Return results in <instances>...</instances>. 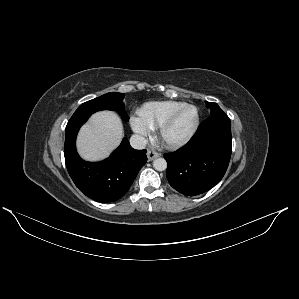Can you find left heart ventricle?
<instances>
[{"instance_id": "1", "label": "left heart ventricle", "mask_w": 299, "mask_h": 299, "mask_svg": "<svg viewBox=\"0 0 299 299\" xmlns=\"http://www.w3.org/2000/svg\"><path fill=\"white\" fill-rule=\"evenodd\" d=\"M196 116L197 113L194 108H187L182 111L174 124L168 130V138L177 139L184 136L194 125Z\"/></svg>"}]
</instances>
